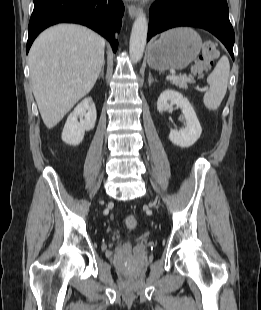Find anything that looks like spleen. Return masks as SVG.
Returning a JSON list of instances; mask_svg holds the SVG:
<instances>
[{"label": "spleen", "instance_id": "obj_1", "mask_svg": "<svg viewBox=\"0 0 261 310\" xmlns=\"http://www.w3.org/2000/svg\"><path fill=\"white\" fill-rule=\"evenodd\" d=\"M230 64L227 56H222L214 70L207 77L209 89L203 97V103L209 110H216L220 106L229 80Z\"/></svg>", "mask_w": 261, "mask_h": 310}]
</instances>
